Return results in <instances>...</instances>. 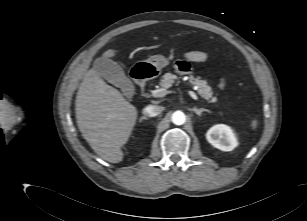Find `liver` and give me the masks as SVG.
I'll list each match as a JSON object with an SVG mask.
<instances>
[{
  "label": "liver",
  "mask_w": 307,
  "mask_h": 221,
  "mask_svg": "<svg viewBox=\"0 0 307 221\" xmlns=\"http://www.w3.org/2000/svg\"><path fill=\"white\" fill-rule=\"evenodd\" d=\"M115 54L110 49L103 58ZM75 112L78 128L95 153L108 162H121V148L129 140L137 120L136 107L90 69L78 89Z\"/></svg>",
  "instance_id": "6515ba94"
}]
</instances>
